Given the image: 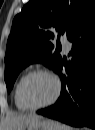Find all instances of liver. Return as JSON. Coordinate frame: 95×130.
<instances>
[{"instance_id": "obj_1", "label": "liver", "mask_w": 95, "mask_h": 130, "mask_svg": "<svg viewBox=\"0 0 95 130\" xmlns=\"http://www.w3.org/2000/svg\"><path fill=\"white\" fill-rule=\"evenodd\" d=\"M40 119L41 117L34 113L10 114L6 117V128L7 130H26L30 123Z\"/></svg>"}]
</instances>
